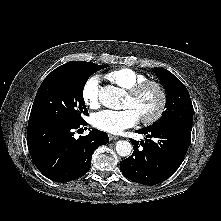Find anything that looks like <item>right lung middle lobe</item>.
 <instances>
[{
	"label": "right lung middle lobe",
	"mask_w": 221,
	"mask_h": 221,
	"mask_svg": "<svg viewBox=\"0 0 221 221\" xmlns=\"http://www.w3.org/2000/svg\"><path fill=\"white\" fill-rule=\"evenodd\" d=\"M107 66L80 61L53 70L38 89L28 128L84 122L82 115H88L83 99L85 83L93 73Z\"/></svg>",
	"instance_id": "right-lung-middle-lobe-1"
}]
</instances>
